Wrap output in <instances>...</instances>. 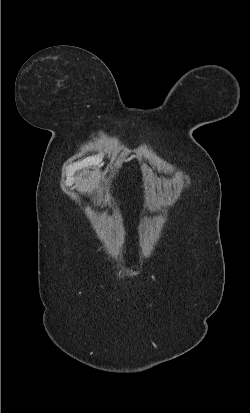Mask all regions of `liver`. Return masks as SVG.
<instances>
[{
	"instance_id": "6515ba94",
	"label": "liver",
	"mask_w": 250,
	"mask_h": 413,
	"mask_svg": "<svg viewBox=\"0 0 250 413\" xmlns=\"http://www.w3.org/2000/svg\"><path fill=\"white\" fill-rule=\"evenodd\" d=\"M90 182H92L91 179H89V181H85L84 183L87 184V183H90Z\"/></svg>"
}]
</instances>
